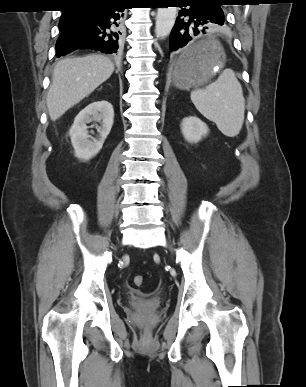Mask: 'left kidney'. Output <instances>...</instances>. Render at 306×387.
<instances>
[{"instance_id": "5707ae66", "label": "left kidney", "mask_w": 306, "mask_h": 387, "mask_svg": "<svg viewBox=\"0 0 306 387\" xmlns=\"http://www.w3.org/2000/svg\"><path fill=\"white\" fill-rule=\"evenodd\" d=\"M184 138L190 143H197L208 134V126L195 116L185 117L181 123Z\"/></svg>"}]
</instances>
